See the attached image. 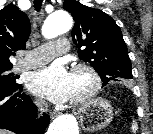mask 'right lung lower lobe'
I'll use <instances>...</instances> for the list:
<instances>
[{
	"mask_svg": "<svg viewBox=\"0 0 153 134\" xmlns=\"http://www.w3.org/2000/svg\"><path fill=\"white\" fill-rule=\"evenodd\" d=\"M35 115L36 107L22 86H0V128L16 134H43L50 119L47 115L36 119Z\"/></svg>",
	"mask_w": 153,
	"mask_h": 134,
	"instance_id": "1",
	"label": "right lung lower lobe"
}]
</instances>
